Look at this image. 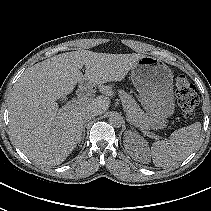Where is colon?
Here are the masks:
<instances>
[{
    "instance_id": "5ec220e1",
    "label": "colon",
    "mask_w": 211,
    "mask_h": 211,
    "mask_svg": "<svg viewBox=\"0 0 211 211\" xmlns=\"http://www.w3.org/2000/svg\"><path fill=\"white\" fill-rule=\"evenodd\" d=\"M175 91L183 115L191 117L198 103L195 86L184 75H180L176 78Z\"/></svg>"
}]
</instances>
